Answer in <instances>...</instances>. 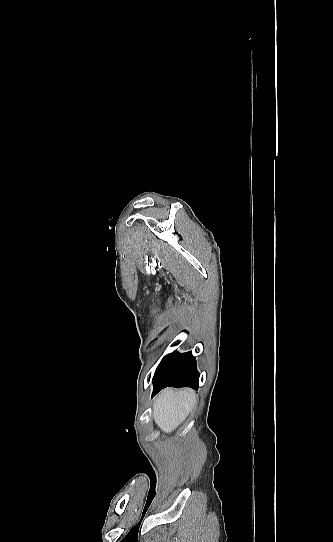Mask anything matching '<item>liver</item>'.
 Instances as JSON below:
<instances>
[{
    "mask_svg": "<svg viewBox=\"0 0 333 542\" xmlns=\"http://www.w3.org/2000/svg\"><path fill=\"white\" fill-rule=\"evenodd\" d=\"M195 404V392L193 390H172L166 388L159 394L153 406V418L158 428L171 434L176 430L187 416H189Z\"/></svg>",
    "mask_w": 333,
    "mask_h": 542,
    "instance_id": "1",
    "label": "liver"
}]
</instances>
